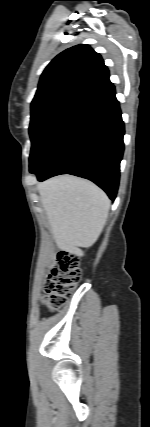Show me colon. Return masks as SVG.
<instances>
[{"label": "colon", "instance_id": "colon-1", "mask_svg": "<svg viewBox=\"0 0 150 427\" xmlns=\"http://www.w3.org/2000/svg\"><path fill=\"white\" fill-rule=\"evenodd\" d=\"M81 279L78 257L71 252L57 254L55 263L45 281L43 301L51 310H58L66 303Z\"/></svg>", "mask_w": 150, "mask_h": 427}]
</instances>
